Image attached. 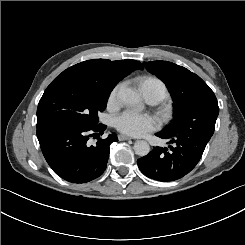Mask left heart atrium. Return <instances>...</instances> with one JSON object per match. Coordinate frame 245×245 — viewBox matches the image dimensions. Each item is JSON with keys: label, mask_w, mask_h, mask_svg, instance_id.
I'll return each instance as SVG.
<instances>
[{"label": "left heart atrium", "mask_w": 245, "mask_h": 245, "mask_svg": "<svg viewBox=\"0 0 245 245\" xmlns=\"http://www.w3.org/2000/svg\"><path fill=\"white\" fill-rule=\"evenodd\" d=\"M116 126L124 134L142 136L155 129L157 121L148 114L128 110L116 118Z\"/></svg>", "instance_id": "obj_1"}]
</instances>
